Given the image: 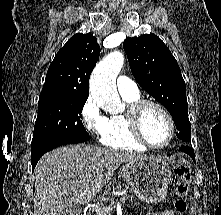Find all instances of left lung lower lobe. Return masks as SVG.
I'll list each match as a JSON object with an SVG mask.
<instances>
[{"mask_svg":"<svg viewBox=\"0 0 221 215\" xmlns=\"http://www.w3.org/2000/svg\"><path fill=\"white\" fill-rule=\"evenodd\" d=\"M180 150L184 151L185 153H187L188 155H190V157L195 160V155H194V150L191 147L188 146H182L180 148Z\"/></svg>","mask_w":221,"mask_h":215,"instance_id":"1","label":"left lung lower lobe"}]
</instances>
